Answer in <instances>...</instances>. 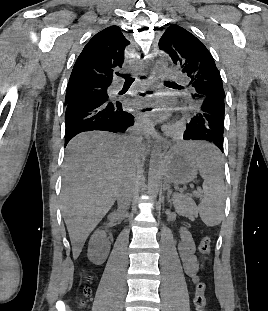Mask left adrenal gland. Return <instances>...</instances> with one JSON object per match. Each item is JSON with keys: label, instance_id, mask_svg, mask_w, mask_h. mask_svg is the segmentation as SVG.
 <instances>
[{"label": "left adrenal gland", "instance_id": "left-adrenal-gland-1", "mask_svg": "<svg viewBox=\"0 0 268 311\" xmlns=\"http://www.w3.org/2000/svg\"><path fill=\"white\" fill-rule=\"evenodd\" d=\"M163 190L167 191L168 202H170L169 198H170L171 192L169 190V185H168V182L166 180L164 181Z\"/></svg>", "mask_w": 268, "mask_h": 311}]
</instances>
